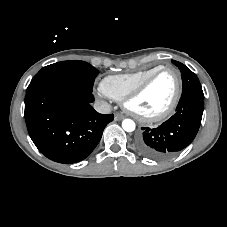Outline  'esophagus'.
I'll list each match as a JSON object with an SVG mask.
<instances>
[{
  "mask_svg": "<svg viewBox=\"0 0 227 227\" xmlns=\"http://www.w3.org/2000/svg\"><path fill=\"white\" fill-rule=\"evenodd\" d=\"M124 118H125V116H124L123 114H121V113H116V114H115V117H114V119H115L116 121L122 120V119H124Z\"/></svg>",
  "mask_w": 227,
  "mask_h": 227,
  "instance_id": "esophagus-1",
  "label": "esophagus"
}]
</instances>
